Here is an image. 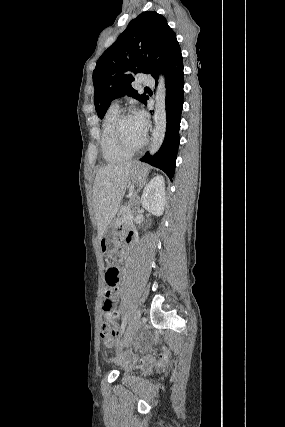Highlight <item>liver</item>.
<instances>
[{"instance_id":"obj_1","label":"liver","mask_w":285,"mask_h":427,"mask_svg":"<svg viewBox=\"0 0 285 427\" xmlns=\"http://www.w3.org/2000/svg\"><path fill=\"white\" fill-rule=\"evenodd\" d=\"M133 164L135 163L109 164L96 174L93 185V205L99 239L105 234L119 209Z\"/></svg>"}]
</instances>
